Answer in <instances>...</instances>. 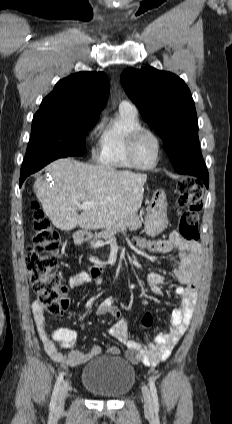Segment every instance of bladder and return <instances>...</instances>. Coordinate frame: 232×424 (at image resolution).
Here are the masks:
<instances>
[{
    "instance_id": "31cf9c89",
    "label": "bladder",
    "mask_w": 232,
    "mask_h": 424,
    "mask_svg": "<svg viewBox=\"0 0 232 424\" xmlns=\"http://www.w3.org/2000/svg\"><path fill=\"white\" fill-rule=\"evenodd\" d=\"M135 381L134 367L122 357L102 355L83 368V388L100 398L117 399L129 392Z\"/></svg>"
}]
</instances>
